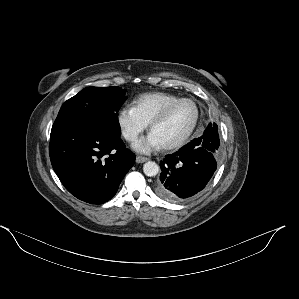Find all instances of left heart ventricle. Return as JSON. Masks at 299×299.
<instances>
[{
  "label": "left heart ventricle",
  "instance_id": "b2bd125f",
  "mask_svg": "<svg viewBox=\"0 0 299 299\" xmlns=\"http://www.w3.org/2000/svg\"><path fill=\"white\" fill-rule=\"evenodd\" d=\"M194 117V105L183 102L175 107L163 122L156 125L151 133L165 146L179 139L190 128Z\"/></svg>",
  "mask_w": 299,
  "mask_h": 299
}]
</instances>
